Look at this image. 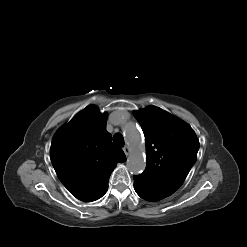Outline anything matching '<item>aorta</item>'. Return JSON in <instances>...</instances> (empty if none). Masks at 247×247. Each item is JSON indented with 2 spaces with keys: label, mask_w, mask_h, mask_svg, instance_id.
Listing matches in <instances>:
<instances>
[{
  "label": "aorta",
  "mask_w": 247,
  "mask_h": 247,
  "mask_svg": "<svg viewBox=\"0 0 247 247\" xmlns=\"http://www.w3.org/2000/svg\"><path fill=\"white\" fill-rule=\"evenodd\" d=\"M122 124L123 132L130 148L127 167L131 173L138 174L142 172L146 166L144 156L145 146L142 136L135 123L131 120L123 118Z\"/></svg>",
  "instance_id": "obj_1"
}]
</instances>
